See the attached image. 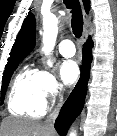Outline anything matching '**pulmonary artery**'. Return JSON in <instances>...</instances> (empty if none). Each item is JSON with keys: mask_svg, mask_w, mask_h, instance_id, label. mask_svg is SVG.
Returning a JSON list of instances; mask_svg holds the SVG:
<instances>
[{"mask_svg": "<svg viewBox=\"0 0 117 136\" xmlns=\"http://www.w3.org/2000/svg\"><path fill=\"white\" fill-rule=\"evenodd\" d=\"M59 52L64 57H72L75 55V46L72 40L64 39L59 46Z\"/></svg>", "mask_w": 117, "mask_h": 136, "instance_id": "e3ab8cb5", "label": "pulmonary artery"}]
</instances>
